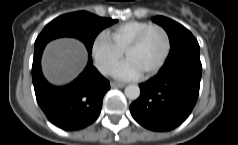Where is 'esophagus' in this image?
Wrapping results in <instances>:
<instances>
[{
	"mask_svg": "<svg viewBox=\"0 0 238 145\" xmlns=\"http://www.w3.org/2000/svg\"><path fill=\"white\" fill-rule=\"evenodd\" d=\"M111 87L112 88H124L125 85L117 82H111Z\"/></svg>",
	"mask_w": 238,
	"mask_h": 145,
	"instance_id": "obj_1",
	"label": "esophagus"
}]
</instances>
